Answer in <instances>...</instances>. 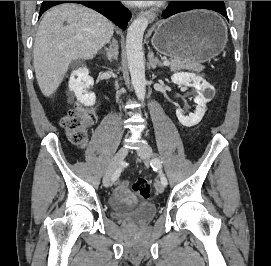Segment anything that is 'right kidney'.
<instances>
[{
    "label": "right kidney",
    "mask_w": 271,
    "mask_h": 266,
    "mask_svg": "<svg viewBox=\"0 0 271 266\" xmlns=\"http://www.w3.org/2000/svg\"><path fill=\"white\" fill-rule=\"evenodd\" d=\"M94 80L89 76L87 68H79L72 72L69 79V90L74 92L77 100L85 106H93L96 102V96L93 92H88L93 86Z\"/></svg>",
    "instance_id": "1"
}]
</instances>
